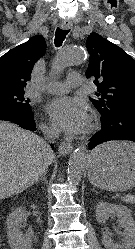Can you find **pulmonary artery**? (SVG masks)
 Here are the masks:
<instances>
[{
  "mask_svg": "<svg viewBox=\"0 0 135 249\" xmlns=\"http://www.w3.org/2000/svg\"><path fill=\"white\" fill-rule=\"evenodd\" d=\"M84 85V78L79 73L70 74L65 82H50L48 83L44 91L52 94H64L69 92L73 88H79Z\"/></svg>",
  "mask_w": 135,
  "mask_h": 249,
  "instance_id": "e3ab8cb5",
  "label": "pulmonary artery"
}]
</instances>
